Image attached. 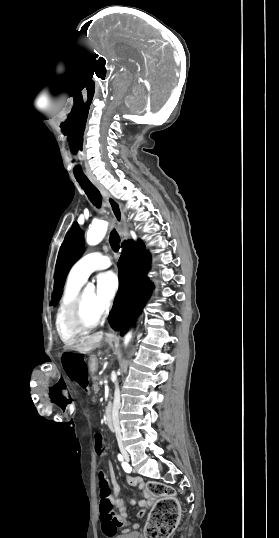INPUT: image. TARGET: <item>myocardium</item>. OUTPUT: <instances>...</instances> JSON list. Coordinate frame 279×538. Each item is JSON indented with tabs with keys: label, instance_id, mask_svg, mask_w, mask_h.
<instances>
[{
	"label": "myocardium",
	"instance_id": "obj_1",
	"mask_svg": "<svg viewBox=\"0 0 279 538\" xmlns=\"http://www.w3.org/2000/svg\"><path fill=\"white\" fill-rule=\"evenodd\" d=\"M86 290H81L73 302L69 305L64 316V326L72 334H84L92 331L100 325L104 314L93 318L86 315Z\"/></svg>",
	"mask_w": 279,
	"mask_h": 538
}]
</instances>
